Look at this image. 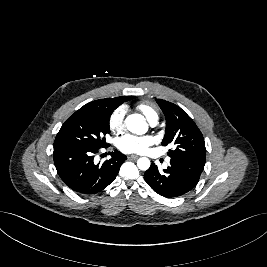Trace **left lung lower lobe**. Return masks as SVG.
I'll list each match as a JSON object with an SVG mask.
<instances>
[{"label": "left lung lower lobe", "instance_id": "left-lung-lower-lobe-1", "mask_svg": "<svg viewBox=\"0 0 267 267\" xmlns=\"http://www.w3.org/2000/svg\"><path fill=\"white\" fill-rule=\"evenodd\" d=\"M204 166L171 158L170 166L160 172L152 163L145 172L147 184L159 195L174 198L184 195L196 186Z\"/></svg>", "mask_w": 267, "mask_h": 267}]
</instances>
